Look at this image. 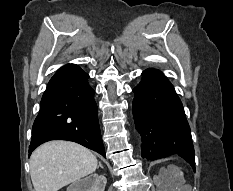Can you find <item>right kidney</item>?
Returning <instances> with one entry per match:
<instances>
[{
  "label": "right kidney",
  "instance_id": "obj_1",
  "mask_svg": "<svg viewBox=\"0 0 233 191\" xmlns=\"http://www.w3.org/2000/svg\"><path fill=\"white\" fill-rule=\"evenodd\" d=\"M106 183L105 176L92 174L71 184L67 191H104Z\"/></svg>",
  "mask_w": 233,
  "mask_h": 191
}]
</instances>
